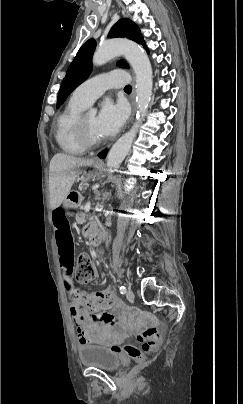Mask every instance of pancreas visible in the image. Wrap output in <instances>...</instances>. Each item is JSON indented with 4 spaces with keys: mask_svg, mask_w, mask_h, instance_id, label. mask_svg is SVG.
Segmentation results:
<instances>
[{
    "mask_svg": "<svg viewBox=\"0 0 243 404\" xmlns=\"http://www.w3.org/2000/svg\"><path fill=\"white\" fill-rule=\"evenodd\" d=\"M83 217H84V214L76 213L75 216H74V219L76 220L77 224H82V223H84V218Z\"/></svg>",
    "mask_w": 243,
    "mask_h": 404,
    "instance_id": "cf45deb5",
    "label": "pancreas"
}]
</instances>
